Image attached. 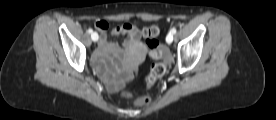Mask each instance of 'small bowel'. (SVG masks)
<instances>
[{
  "label": "small bowel",
  "instance_id": "1",
  "mask_svg": "<svg viewBox=\"0 0 276 120\" xmlns=\"http://www.w3.org/2000/svg\"><path fill=\"white\" fill-rule=\"evenodd\" d=\"M96 29L100 33L99 47L94 56V66L99 76L112 91L121 88L127 75L121 72V65L125 60V49H135L140 45V32L132 24L116 26L112 29L115 36L123 35L126 40L120 42H108L106 31L109 23L99 20L95 23Z\"/></svg>",
  "mask_w": 276,
  "mask_h": 120
}]
</instances>
